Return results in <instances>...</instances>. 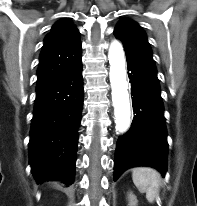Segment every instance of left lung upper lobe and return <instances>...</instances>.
Wrapping results in <instances>:
<instances>
[{
	"label": "left lung upper lobe",
	"instance_id": "5c2ea615",
	"mask_svg": "<svg viewBox=\"0 0 197 206\" xmlns=\"http://www.w3.org/2000/svg\"><path fill=\"white\" fill-rule=\"evenodd\" d=\"M114 34L123 42L127 60L158 80L150 44L142 27L129 18H123L116 25Z\"/></svg>",
	"mask_w": 197,
	"mask_h": 206
}]
</instances>
